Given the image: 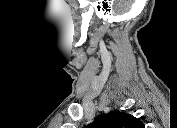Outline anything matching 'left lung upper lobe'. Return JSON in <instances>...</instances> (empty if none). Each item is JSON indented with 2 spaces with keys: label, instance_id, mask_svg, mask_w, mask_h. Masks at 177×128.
Instances as JSON below:
<instances>
[{
  "label": "left lung upper lobe",
  "instance_id": "1",
  "mask_svg": "<svg viewBox=\"0 0 177 128\" xmlns=\"http://www.w3.org/2000/svg\"><path fill=\"white\" fill-rule=\"evenodd\" d=\"M92 128H143L139 119L134 116L119 112L111 111L95 119L91 124Z\"/></svg>",
  "mask_w": 177,
  "mask_h": 128
}]
</instances>
